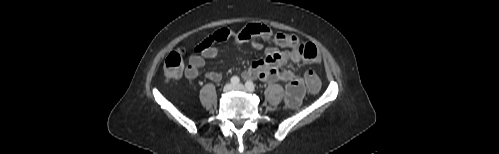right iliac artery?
Here are the masks:
<instances>
[{
  "label": "right iliac artery",
  "instance_id": "1",
  "mask_svg": "<svg viewBox=\"0 0 499 154\" xmlns=\"http://www.w3.org/2000/svg\"><path fill=\"white\" fill-rule=\"evenodd\" d=\"M239 82H240L239 77H237V76H233V77L231 78V83H232V84L236 85V84H238Z\"/></svg>",
  "mask_w": 499,
  "mask_h": 154
}]
</instances>
